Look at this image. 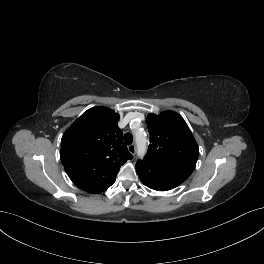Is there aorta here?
<instances>
[{
    "mask_svg": "<svg viewBox=\"0 0 264 264\" xmlns=\"http://www.w3.org/2000/svg\"><path fill=\"white\" fill-rule=\"evenodd\" d=\"M136 142L138 148V155L143 156L147 150L146 137L143 132L136 133Z\"/></svg>",
    "mask_w": 264,
    "mask_h": 264,
    "instance_id": "762f6f07",
    "label": "aorta"
}]
</instances>
